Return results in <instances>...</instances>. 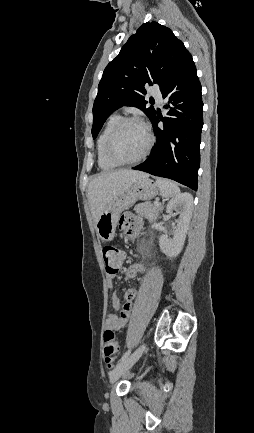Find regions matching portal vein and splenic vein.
Segmentation results:
<instances>
[{"instance_id": "1", "label": "portal vein and splenic vein", "mask_w": 254, "mask_h": 433, "mask_svg": "<svg viewBox=\"0 0 254 433\" xmlns=\"http://www.w3.org/2000/svg\"><path fill=\"white\" fill-rule=\"evenodd\" d=\"M159 202L158 201H156V202H154V205H156V206H159Z\"/></svg>"}]
</instances>
